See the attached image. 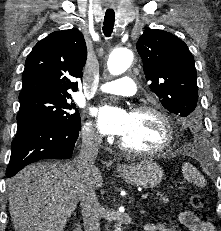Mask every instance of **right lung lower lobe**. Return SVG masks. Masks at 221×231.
I'll return each mask as SVG.
<instances>
[{"mask_svg":"<svg viewBox=\"0 0 221 231\" xmlns=\"http://www.w3.org/2000/svg\"><path fill=\"white\" fill-rule=\"evenodd\" d=\"M80 129L49 121L31 122L17 129L6 176L12 177L38 160L71 158Z\"/></svg>","mask_w":221,"mask_h":231,"instance_id":"1","label":"right lung lower lobe"}]
</instances>
